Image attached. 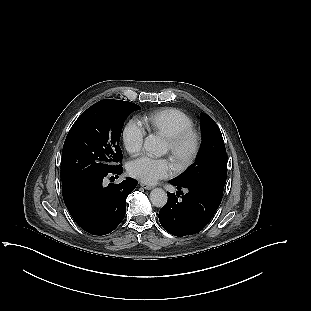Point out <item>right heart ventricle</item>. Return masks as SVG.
Segmentation results:
<instances>
[{
	"label": "right heart ventricle",
	"instance_id": "e07e8e85",
	"mask_svg": "<svg viewBox=\"0 0 311 311\" xmlns=\"http://www.w3.org/2000/svg\"><path fill=\"white\" fill-rule=\"evenodd\" d=\"M144 123L153 133L168 138L180 130L191 128L192 118L178 108H164L145 116Z\"/></svg>",
	"mask_w": 311,
	"mask_h": 311
}]
</instances>
